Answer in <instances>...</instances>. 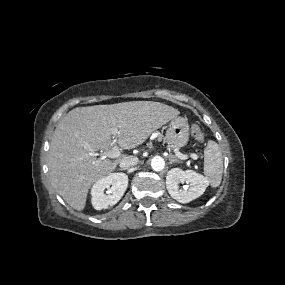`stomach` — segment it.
<instances>
[{
	"mask_svg": "<svg viewBox=\"0 0 285 285\" xmlns=\"http://www.w3.org/2000/svg\"><path fill=\"white\" fill-rule=\"evenodd\" d=\"M189 140V125L185 118L175 117L171 119L166 130L165 142L171 148H180Z\"/></svg>",
	"mask_w": 285,
	"mask_h": 285,
	"instance_id": "stomach-1",
	"label": "stomach"
}]
</instances>
